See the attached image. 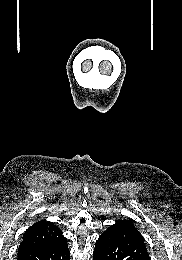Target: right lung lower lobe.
<instances>
[{
	"label": "right lung lower lobe",
	"instance_id": "98d812e1",
	"mask_svg": "<svg viewBox=\"0 0 182 260\" xmlns=\"http://www.w3.org/2000/svg\"><path fill=\"white\" fill-rule=\"evenodd\" d=\"M17 260H70L67 240L18 253Z\"/></svg>",
	"mask_w": 182,
	"mask_h": 260
}]
</instances>
